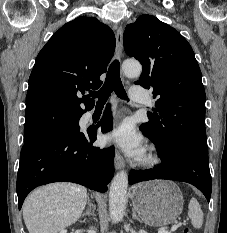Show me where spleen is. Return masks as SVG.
Returning a JSON list of instances; mask_svg holds the SVG:
<instances>
[{
  "instance_id": "3e777b00",
  "label": "spleen",
  "mask_w": 227,
  "mask_h": 233,
  "mask_svg": "<svg viewBox=\"0 0 227 233\" xmlns=\"http://www.w3.org/2000/svg\"><path fill=\"white\" fill-rule=\"evenodd\" d=\"M188 216L194 228H201L203 224V212L196 198H191L188 206Z\"/></svg>"
}]
</instances>
